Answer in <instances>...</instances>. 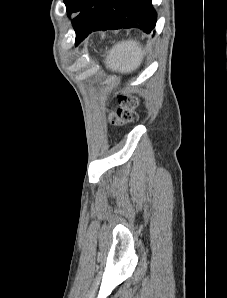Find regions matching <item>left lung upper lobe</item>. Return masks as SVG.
I'll use <instances>...</instances> for the list:
<instances>
[{"mask_svg": "<svg viewBox=\"0 0 227 298\" xmlns=\"http://www.w3.org/2000/svg\"><path fill=\"white\" fill-rule=\"evenodd\" d=\"M107 0H64L67 14L76 15L72 20L76 32V41L80 43L87 37L99 17L101 16Z\"/></svg>", "mask_w": 227, "mask_h": 298, "instance_id": "5c2ea615", "label": "left lung upper lobe"}]
</instances>
